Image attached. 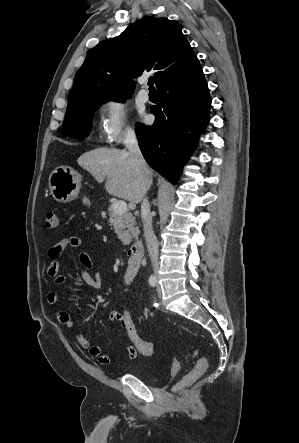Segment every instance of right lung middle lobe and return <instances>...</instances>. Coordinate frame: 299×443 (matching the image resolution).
Instances as JSON below:
<instances>
[{"mask_svg":"<svg viewBox=\"0 0 299 443\" xmlns=\"http://www.w3.org/2000/svg\"><path fill=\"white\" fill-rule=\"evenodd\" d=\"M128 97L129 95H122L109 99L123 102ZM106 100L107 99L88 101L67 108L62 126V134L66 137L86 136L92 127L94 110L98 109L101 106V102L105 103Z\"/></svg>","mask_w":299,"mask_h":443,"instance_id":"dd1d6c3e","label":"right lung middle lobe"}]
</instances>
